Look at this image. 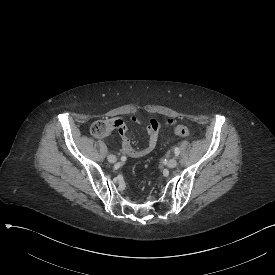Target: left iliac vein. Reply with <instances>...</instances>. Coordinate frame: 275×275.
Masks as SVG:
<instances>
[{"label": "left iliac vein", "instance_id": "obj_1", "mask_svg": "<svg viewBox=\"0 0 275 275\" xmlns=\"http://www.w3.org/2000/svg\"><path fill=\"white\" fill-rule=\"evenodd\" d=\"M177 166V160L176 158H171L168 163H167V167L169 169H174Z\"/></svg>", "mask_w": 275, "mask_h": 275}]
</instances>
